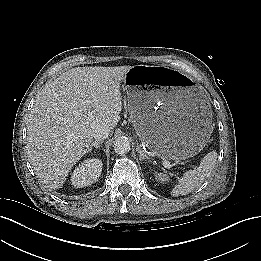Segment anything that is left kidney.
I'll return each mask as SVG.
<instances>
[{"label":"left kidney","instance_id":"obj_1","mask_svg":"<svg viewBox=\"0 0 261 261\" xmlns=\"http://www.w3.org/2000/svg\"><path fill=\"white\" fill-rule=\"evenodd\" d=\"M158 179L161 181H168V176L165 174H158Z\"/></svg>","mask_w":261,"mask_h":261}]
</instances>
